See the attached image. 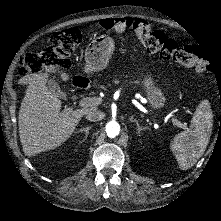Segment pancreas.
Masks as SVG:
<instances>
[{
    "mask_svg": "<svg viewBox=\"0 0 221 221\" xmlns=\"http://www.w3.org/2000/svg\"><path fill=\"white\" fill-rule=\"evenodd\" d=\"M112 82L118 83V82H120V81H119V79H115V80H112Z\"/></svg>",
    "mask_w": 221,
    "mask_h": 221,
    "instance_id": "pancreas-1",
    "label": "pancreas"
}]
</instances>
